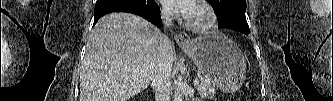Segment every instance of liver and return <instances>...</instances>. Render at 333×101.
I'll use <instances>...</instances> for the list:
<instances>
[{"instance_id":"obj_1","label":"liver","mask_w":333,"mask_h":101,"mask_svg":"<svg viewBox=\"0 0 333 101\" xmlns=\"http://www.w3.org/2000/svg\"><path fill=\"white\" fill-rule=\"evenodd\" d=\"M162 38L159 29L136 15L102 17L82 62L80 101H128L145 90L153 80Z\"/></svg>"}]
</instances>
